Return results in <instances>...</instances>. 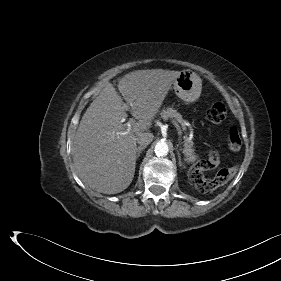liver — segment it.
I'll return each mask as SVG.
<instances>
[{
    "label": "liver",
    "instance_id": "liver-1",
    "mask_svg": "<svg viewBox=\"0 0 281 281\" xmlns=\"http://www.w3.org/2000/svg\"><path fill=\"white\" fill-rule=\"evenodd\" d=\"M179 71L136 70L126 74L115 88L108 84L82 116L72 145L75 169L90 188L116 194L132 182L137 155V136L147 131ZM126 110L138 121L127 135L122 122Z\"/></svg>",
    "mask_w": 281,
    "mask_h": 281
}]
</instances>
